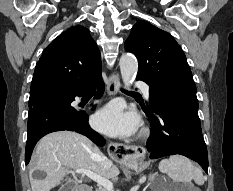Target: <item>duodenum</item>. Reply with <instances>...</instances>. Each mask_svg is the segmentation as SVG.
Wrapping results in <instances>:
<instances>
[{
  "instance_id": "1",
  "label": "duodenum",
  "mask_w": 233,
  "mask_h": 191,
  "mask_svg": "<svg viewBox=\"0 0 233 191\" xmlns=\"http://www.w3.org/2000/svg\"><path fill=\"white\" fill-rule=\"evenodd\" d=\"M76 191H90L86 186H79Z\"/></svg>"
}]
</instances>
